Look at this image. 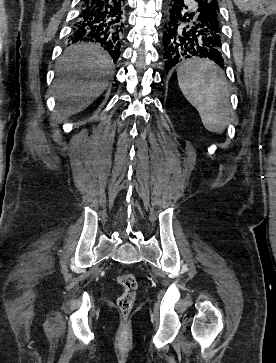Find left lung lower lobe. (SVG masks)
Returning a JSON list of instances; mask_svg holds the SVG:
<instances>
[{
  "mask_svg": "<svg viewBox=\"0 0 276 363\" xmlns=\"http://www.w3.org/2000/svg\"><path fill=\"white\" fill-rule=\"evenodd\" d=\"M169 25L163 38V61L166 73L190 58L206 57L223 65L221 23L215 8L194 0L195 11H186L188 0H171Z\"/></svg>",
  "mask_w": 276,
  "mask_h": 363,
  "instance_id": "left-lung-lower-lobe-1",
  "label": "left lung lower lobe"
}]
</instances>
